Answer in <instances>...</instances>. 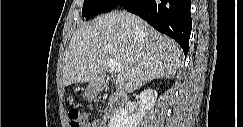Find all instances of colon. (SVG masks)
Returning <instances> with one entry per match:
<instances>
[{"mask_svg":"<svg viewBox=\"0 0 243 127\" xmlns=\"http://www.w3.org/2000/svg\"><path fill=\"white\" fill-rule=\"evenodd\" d=\"M69 123L71 127H84L81 114L75 107H72L69 111Z\"/></svg>","mask_w":243,"mask_h":127,"instance_id":"1","label":"colon"}]
</instances>
